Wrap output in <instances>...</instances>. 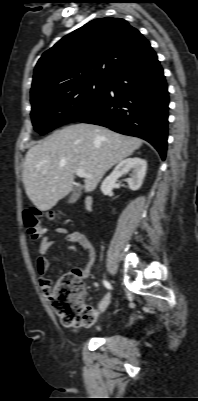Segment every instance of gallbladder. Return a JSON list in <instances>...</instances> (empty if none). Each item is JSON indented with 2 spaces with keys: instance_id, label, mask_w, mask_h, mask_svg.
<instances>
[{
  "instance_id": "1",
  "label": "gallbladder",
  "mask_w": 198,
  "mask_h": 401,
  "mask_svg": "<svg viewBox=\"0 0 198 401\" xmlns=\"http://www.w3.org/2000/svg\"><path fill=\"white\" fill-rule=\"evenodd\" d=\"M79 196H80L79 187H75V189H74L72 195L70 196L68 202L71 203V204L75 203L78 200Z\"/></svg>"
}]
</instances>
